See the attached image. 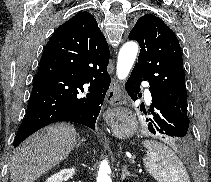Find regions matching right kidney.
I'll list each match as a JSON object with an SVG mask.
<instances>
[{
	"instance_id": "1",
	"label": "right kidney",
	"mask_w": 211,
	"mask_h": 182,
	"mask_svg": "<svg viewBox=\"0 0 211 182\" xmlns=\"http://www.w3.org/2000/svg\"><path fill=\"white\" fill-rule=\"evenodd\" d=\"M74 174H75V168L64 169L59 173H56L51 177H49L46 180V182H63L64 180L71 178Z\"/></svg>"
}]
</instances>
